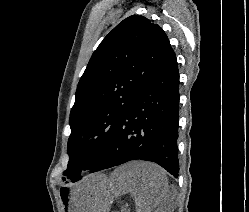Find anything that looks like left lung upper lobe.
Returning <instances> with one entry per match:
<instances>
[{
  "instance_id": "1",
  "label": "left lung upper lobe",
  "mask_w": 249,
  "mask_h": 212,
  "mask_svg": "<svg viewBox=\"0 0 249 212\" xmlns=\"http://www.w3.org/2000/svg\"><path fill=\"white\" fill-rule=\"evenodd\" d=\"M170 50L164 31L143 16L124 19L104 38L77 86L63 175L75 181L98 163L118 120Z\"/></svg>"
}]
</instances>
